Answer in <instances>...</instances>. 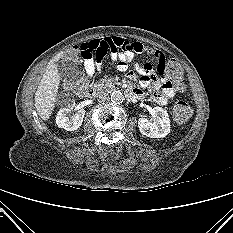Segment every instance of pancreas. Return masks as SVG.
<instances>
[{
    "label": "pancreas",
    "mask_w": 233,
    "mask_h": 233,
    "mask_svg": "<svg viewBox=\"0 0 233 233\" xmlns=\"http://www.w3.org/2000/svg\"><path fill=\"white\" fill-rule=\"evenodd\" d=\"M95 88L99 90H108L113 89L115 87V81L112 78H104L100 79L95 85Z\"/></svg>",
    "instance_id": "1"
}]
</instances>
